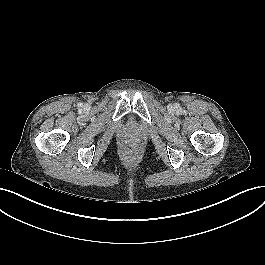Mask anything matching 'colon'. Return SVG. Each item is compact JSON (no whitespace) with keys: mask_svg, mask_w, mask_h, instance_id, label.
I'll return each mask as SVG.
<instances>
[{"mask_svg":"<svg viewBox=\"0 0 265 265\" xmlns=\"http://www.w3.org/2000/svg\"><path fill=\"white\" fill-rule=\"evenodd\" d=\"M126 146H127V148H129V149H133V146H131L130 144H127Z\"/></svg>","mask_w":265,"mask_h":265,"instance_id":"1","label":"colon"}]
</instances>
